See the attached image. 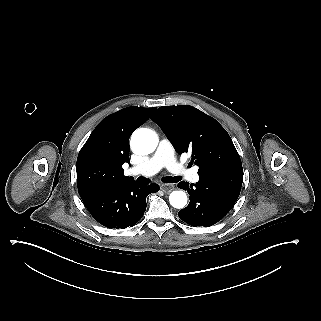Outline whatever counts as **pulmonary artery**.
Here are the masks:
<instances>
[{"label":"pulmonary artery","instance_id":"obj_1","mask_svg":"<svg viewBox=\"0 0 321 321\" xmlns=\"http://www.w3.org/2000/svg\"><path fill=\"white\" fill-rule=\"evenodd\" d=\"M164 166L168 167L170 173L176 178L182 177L185 180L192 179L193 182L199 181V176L193 165L189 163L182 165L177 161L175 153L171 149V143L165 136L161 138L156 151L143 161L141 168L143 172L150 174Z\"/></svg>","mask_w":321,"mask_h":321}]
</instances>
